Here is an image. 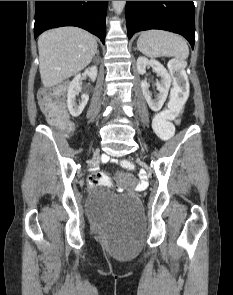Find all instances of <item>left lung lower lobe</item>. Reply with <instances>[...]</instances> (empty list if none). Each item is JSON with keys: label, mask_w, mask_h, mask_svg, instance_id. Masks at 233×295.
Here are the masks:
<instances>
[{"label": "left lung lower lobe", "mask_w": 233, "mask_h": 295, "mask_svg": "<svg viewBox=\"0 0 233 295\" xmlns=\"http://www.w3.org/2000/svg\"><path fill=\"white\" fill-rule=\"evenodd\" d=\"M127 34L163 29L184 36L192 48L195 43V6L193 1H127Z\"/></svg>", "instance_id": "left-lung-lower-lobe-1"}]
</instances>
